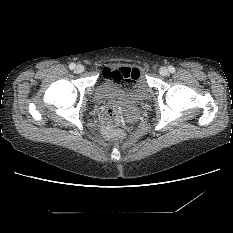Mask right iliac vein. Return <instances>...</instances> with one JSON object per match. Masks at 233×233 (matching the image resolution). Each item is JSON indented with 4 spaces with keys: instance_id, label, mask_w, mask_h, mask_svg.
Here are the masks:
<instances>
[{
    "instance_id": "1",
    "label": "right iliac vein",
    "mask_w": 233,
    "mask_h": 233,
    "mask_svg": "<svg viewBox=\"0 0 233 233\" xmlns=\"http://www.w3.org/2000/svg\"><path fill=\"white\" fill-rule=\"evenodd\" d=\"M84 69H85L84 66L81 65V64H79V65L76 66L75 71H76L77 73H81V72L84 71Z\"/></svg>"
}]
</instances>
